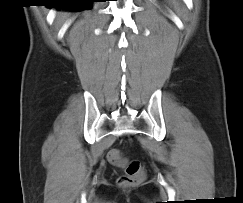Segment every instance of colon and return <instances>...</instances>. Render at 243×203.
Instances as JSON below:
<instances>
[{"mask_svg": "<svg viewBox=\"0 0 243 203\" xmlns=\"http://www.w3.org/2000/svg\"><path fill=\"white\" fill-rule=\"evenodd\" d=\"M108 158L112 163L124 168V175L120 176L118 179V183L120 186H134L143 180L144 171L138 161H131L129 163H126L121 153L116 149L109 151Z\"/></svg>", "mask_w": 243, "mask_h": 203, "instance_id": "colon-1", "label": "colon"}]
</instances>
